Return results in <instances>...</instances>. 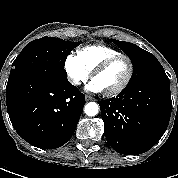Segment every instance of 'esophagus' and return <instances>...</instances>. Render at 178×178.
<instances>
[{
	"label": "esophagus",
	"instance_id": "esophagus-1",
	"mask_svg": "<svg viewBox=\"0 0 178 178\" xmlns=\"http://www.w3.org/2000/svg\"><path fill=\"white\" fill-rule=\"evenodd\" d=\"M85 100H86V101H92V100H94V98H93L92 96H86V97H85Z\"/></svg>",
	"mask_w": 178,
	"mask_h": 178
}]
</instances>
